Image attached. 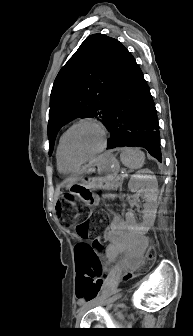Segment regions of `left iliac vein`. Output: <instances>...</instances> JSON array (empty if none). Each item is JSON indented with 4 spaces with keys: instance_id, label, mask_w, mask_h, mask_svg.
<instances>
[{
    "instance_id": "obj_1",
    "label": "left iliac vein",
    "mask_w": 193,
    "mask_h": 336,
    "mask_svg": "<svg viewBox=\"0 0 193 336\" xmlns=\"http://www.w3.org/2000/svg\"><path fill=\"white\" fill-rule=\"evenodd\" d=\"M120 297H121V294L116 295V296L110 298V299L107 301V303H108V304H111V303H113L115 300L119 299ZM89 308H90V307H85V308H83V309L78 313V316H77V323L80 322L81 318L83 317V315L85 314V312H86Z\"/></svg>"
}]
</instances>
